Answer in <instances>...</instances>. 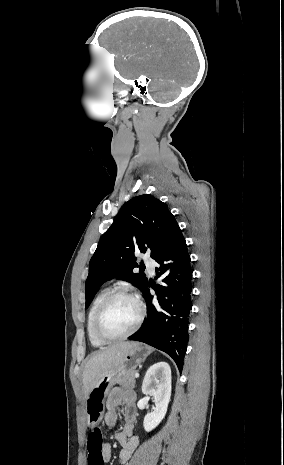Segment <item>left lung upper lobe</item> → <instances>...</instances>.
<instances>
[{
    "mask_svg": "<svg viewBox=\"0 0 284 465\" xmlns=\"http://www.w3.org/2000/svg\"><path fill=\"white\" fill-rule=\"evenodd\" d=\"M178 228L166 204L154 196L144 194L126 202L90 260L85 307L90 305L100 286L115 277L142 290L147 278L145 274L133 273L138 267L134 253L148 250L151 258L156 259L169 246Z\"/></svg>",
    "mask_w": 284,
    "mask_h": 465,
    "instance_id": "obj_1",
    "label": "left lung upper lobe"
}]
</instances>
